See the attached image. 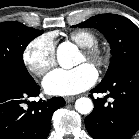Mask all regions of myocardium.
<instances>
[{
	"label": "myocardium",
	"mask_w": 139,
	"mask_h": 139,
	"mask_svg": "<svg viewBox=\"0 0 139 139\" xmlns=\"http://www.w3.org/2000/svg\"><path fill=\"white\" fill-rule=\"evenodd\" d=\"M82 53L85 55L86 60L98 69L104 68L107 64L108 57L106 51L98 45L85 47Z\"/></svg>",
	"instance_id": "myocardium-1"
}]
</instances>
